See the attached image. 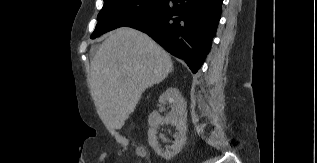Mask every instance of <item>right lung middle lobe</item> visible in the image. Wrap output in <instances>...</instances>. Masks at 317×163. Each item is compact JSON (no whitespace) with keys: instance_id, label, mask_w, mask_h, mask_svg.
I'll use <instances>...</instances> for the list:
<instances>
[{"instance_id":"obj_1","label":"right lung middle lobe","mask_w":317,"mask_h":163,"mask_svg":"<svg viewBox=\"0 0 317 163\" xmlns=\"http://www.w3.org/2000/svg\"><path fill=\"white\" fill-rule=\"evenodd\" d=\"M168 0H104V6L98 14V24L91 38L94 39L113 29L142 18Z\"/></svg>"}]
</instances>
